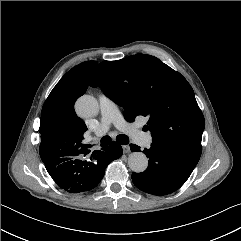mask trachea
<instances>
[{
    "label": "trachea",
    "mask_w": 241,
    "mask_h": 241,
    "mask_svg": "<svg viewBox=\"0 0 241 241\" xmlns=\"http://www.w3.org/2000/svg\"><path fill=\"white\" fill-rule=\"evenodd\" d=\"M116 141L119 144L126 145L129 143V138L126 135L120 134L117 136ZM101 146H107L111 142V138L109 136H104L101 138Z\"/></svg>",
    "instance_id": "3493384b"
}]
</instances>
